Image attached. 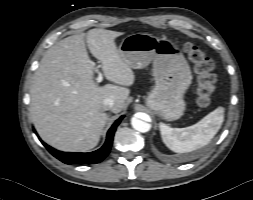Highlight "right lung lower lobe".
<instances>
[{
	"mask_svg": "<svg viewBox=\"0 0 253 200\" xmlns=\"http://www.w3.org/2000/svg\"><path fill=\"white\" fill-rule=\"evenodd\" d=\"M123 117L124 116H121L118 120H116L112 127L109 129L105 144L100 149L93 152L66 153L57 151L44 142L42 143L53 156L66 164H95L102 161L110 152L115 130Z\"/></svg>",
	"mask_w": 253,
	"mask_h": 200,
	"instance_id": "98d812e1",
	"label": "right lung lower lobe"
}]
</instances>
